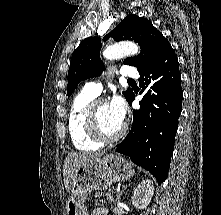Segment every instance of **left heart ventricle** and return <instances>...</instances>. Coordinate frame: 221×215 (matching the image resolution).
<instances>
[{
    "label": "left heart ventricle",
    "mask_w": 221,
    "mask_h": 215,
    "mask_svg": "<svg viewBox=\"0 0 221 215\" xmlns=\"http://www.w3.org/2000/svg\"><path fill=\"white\" fill-rule=\"evenodd\" d=\"M97 117L100 129L106 135H114L120 130L122 126V123L118 122L113 116L109 107V103L99 106Z\"/></svg>",
    "instance_id": "left-heart-ventricle-1"
}]
</instances>
